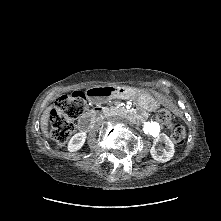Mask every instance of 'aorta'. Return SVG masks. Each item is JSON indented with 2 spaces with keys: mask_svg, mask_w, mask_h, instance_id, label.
I'll return each mask as SVG.
<instances>
[{
  "mask_svg": "<svg viewBox=\"0 0 221 221\" xmlns=\"http://www.w3.org/2000/svg\"><path fill=\"white\" fill-rule=\"evenodd\" d=\"M143 130L151 136H157L159 134L160 127L155 122H145L143 125Z\"/></svg>",
  "mask_w": 221,
  "mask_h": 221,
  "instance_id": "1",
  "label": "aorta"
}]
</instances>
